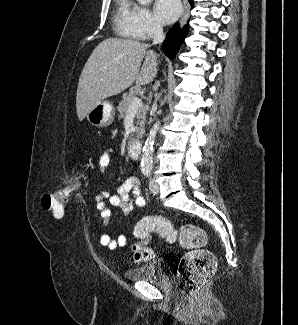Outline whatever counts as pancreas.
Instances as JSON below:
<instances>
[{"instance_id": "obj_1", "label": "pancreas", "mask_w": 298, "mask_h": 325, "mask_svg": "<svg viewBox=\"0 0 298 325\" xmlns=\"http://www.w3.org/2000/svg\"><path fill=\"white\" fill-rule=\"evenodd\" d=\"M138 92H141V88H135V86H132V88H129L128 92H124V94H122V98L119 100L117 106L119 120H121V118H125L128 106L131 104V100L135 98V94H138ZM147 110H149V104H142V106H139L136 112L137 120H135L136 132H132V134H130L129 142H131L132 138H139L141 134H144Z\"/></svg>"}]
</instances>
